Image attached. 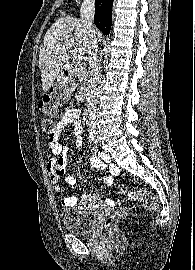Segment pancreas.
Returning a JSON list of instances; mask_svg holds the SVG:
<instances>
[{
	"mask_svg": "<svg viewBox=\"0 0 195 270\" xmlns=\"http://www.w3.org/2000/svg\"><path fill=\"white\" fill-rule=\"evenodd\" d=\"M73 75L80 81L81 84H86L88 82V71L86 69L85 63L79 60L73 62Z\"/></svg>",
	"mask_w": 195,
	"mask_h": 270,
	"instance_id": "pancreas-1",
	"label": "pancreas"
}]
</instances>
